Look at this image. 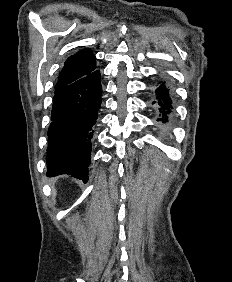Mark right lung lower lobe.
<instances>
[{"label":"right lung lower lobe","instance_id":"right-lung-lower-lobe-1","mask_svg":"<svg viewBox=\"0 0 232 282\" xmlns=\"http://www.w3.org/2000/svg\"><path fill=\"white\" fill-rule=\"evenodd\" d=\"M99 70L55 90L48 129L47 176L88 180L92 138L101 104Z\"/></svg>","mask_w":232,"mask_h":282}]
</instances>
